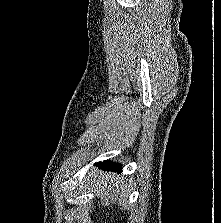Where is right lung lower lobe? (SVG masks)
<instances>
[{"label": "right lung lower lobe", "mask_w": 221, "mask_h": 223, "mask_svg": "<svg viewBox=\"0 0 221 223\" xmlns=\"http://www.w3.org/2000/svg\"><path fill=\"white\" fill-rule=\"evenodd\" d=\"M98 165L100 166V168L103 169H108L111 171H121L122 165L120 164H116V163H112L111 161H103V162H99Z\"/></svg>", "instance_id": "right-lung-lower-lobe-1"}]
</instances>
